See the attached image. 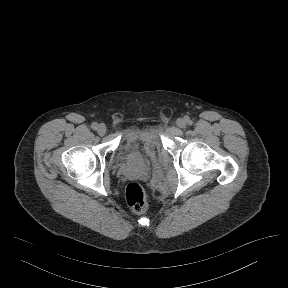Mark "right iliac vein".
Instances as JSON below:
<instances>
[{
	"instance_id": "1",
	"label": "right iliac vein",
	"mask_w": 288,
	"mask_h": 288,
	"mask_svg": "<svg viewBox=\"0 0 288 288\" xmlns=\"http://www.w3.org/2000/svg\"><path fill=\"white\" fill-rule=\"evenodd\" d=\"M97 131H98V134H99L100 136H104V135L106 134V132H107V128H106V126H105L104 124H100V125L98 126Z\"/></svg>"
}]
</instances>
